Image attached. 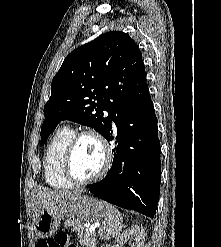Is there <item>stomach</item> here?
<instances>
[{"label":"stomach","instance_id":"0dacf381","mask_svg":"<svg viewBox=\"0 0 221 247\" xmlns=\"http://www.w3.org/2000/svg\"><path fill=\"white\" fill-rule=\"evenodd\" d=\"M107 204L90 196H78L61 206L44 209L35 220L34 230L39 237H48L56 232L61 220L68 216L79 221L98 222L106 218Z\"/></svg>","mask_w":221,"mask_h":247}]
</instances>
